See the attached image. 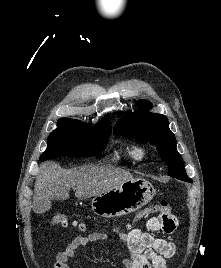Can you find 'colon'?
Listing matches in <instances>:
<instances>
[{
    "mask_svg": "<svg viewBox=\"0 0 221 268\" xmlns=\"http://www.w3.org/2000/svg\"><path fill=\"white\" fill-rule=\"evenodd\" d=\"M155 213H157L158 215L171 214V206H170L169 201L162 200L156 205L142 209L133 217L131 223L128 226L130 227L132 224L138 223L142 221L143 219H146L147 217H149L151 214H155ZM51 222L53 225L67 227L69 224V218L65 213L57 212L52 217ZM73 225L78 226L82 230L85 229V225L82 223L78 224L76 221H74Z\"/></svg>",
    "mask_w": 221,
    "mask_h": 268,
    "instance_id": "5ec220e1",
    "label": "colon"
}]
</instances>
